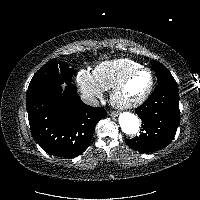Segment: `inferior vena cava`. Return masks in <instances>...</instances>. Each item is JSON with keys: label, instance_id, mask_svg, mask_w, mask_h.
Returning a JSON list of instances; mask_svg holds the SVG:
<instances>
[{"label": "inferior vena cava", "instance_id": "602c4592", "mask_svg": "<svg viewBox=\"0 0 200 200\" xmlns=\"http://www.w3.org/2000/svg\"><path fill=\"white\" fill-rule=\"evenodd\" d=\"M81 99L84 103L91 105V106H98L99 105V101L96 97L92 96V95H86L83 94L81 95Z\"/></svg>", "mask_w": 200, "mask_h": 200}]
</instances>
